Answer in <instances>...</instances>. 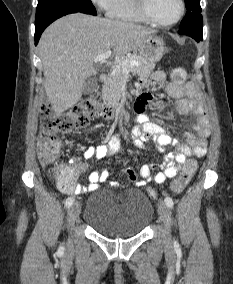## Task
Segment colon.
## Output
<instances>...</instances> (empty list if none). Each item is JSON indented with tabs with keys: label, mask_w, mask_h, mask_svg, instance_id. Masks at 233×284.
<instances>
[{
	"label": "colon",
	"mask_w": 233,
	"mask_h": 284,
	"mask_svg": "<svg viewBox=\"0 0 233 284\" xmlns=\"http://www.w3.org/2000/svg\"><path fill=\"white\" fill-rule=\"evenodd\" d=\"M171 78L176 84H181L185 80V72L181 68H174ZM101 105L98 96H90L82 100L78 105L69 111L57 114L51 104L47 103L42 107L40 116V135L37 143L39 160L43 165L51 166L57 159L60 150L59 135L67 133L75 128L87 126L96 111ZM198 169L195 159L187 160L179 175L172 181L171 189L174 193H181L189 185L191 179ZM77 185V178L67 175L60 182V189L65 193H71ZM150 199L157 198V192L153 188H148Z\"/></svg>",
	"instance_id": "1"
}]
</instances>
